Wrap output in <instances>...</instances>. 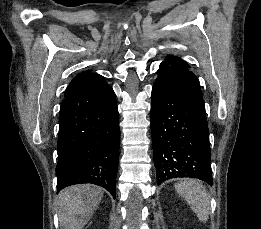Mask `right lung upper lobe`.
<instances>
[{"mask_svg":"<svg viewBox=\"0 0 261 229\" xmlns=\"http://www.w3.org/2000/svg\"><path fill=\"white\" fill-rule=\"evenodd\" d=\"M100 77L98 74H92L91 72L85 71L77 75L70 83V85L67 87V90L65 92V96H67L69 93H71L73 90L79 88L84 83L91 81L93 79H96Z\"/></svg>","mask_w":261,"mask_h":229,"instance_id":"1","label":"right lung upper lobe"}]
</instances>
